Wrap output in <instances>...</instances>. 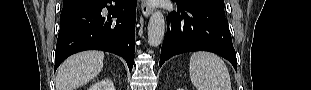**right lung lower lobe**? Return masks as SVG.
Returning <instances> with one entry per match:
<instances>
[{
	"mask_svg": "<svg viewBox=\"0 0 311 90\" xmlns=\"http://www.w3.org/2000/svg\"><path fill=\"white\" fill-rule=\"evenodd\" d=\"M60 21L55 70L74 53L103 50L123 57L131 71L135 52L136 0H78L63 7Z\"/></svg>",
	"mask_w": 311,
	"mask_h": 90,
	"instance_id": "right-lung-lower-lobe-1",
	"label": "right lung lower lobe"
}]
</instances>
